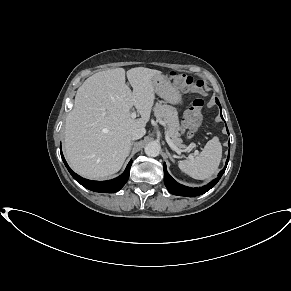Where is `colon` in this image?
Listing matches in <instances>:
<instances>
[{
  "label": "colon",
  "instance_id": "5ec220e1",
  "mask_svg": "<svg viewBox=\"0 0 291 291\" xmlns=\"http://www.w3.org/2000/svg\"><path fill=\"white\" fill-rule=\"evenodd\" d=\"M171 77L174 81L183 83L185 85L199 86V83L195 81L192 77L178 71L171 72ZM203 105L204 101L202 99L194 100L191 110L185 117L186 125L192 126L198 122Z\"/></svg>",
  "mask_w": 291,
  "mask_h": 291
}]
</instances>
